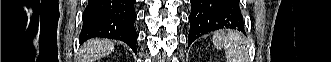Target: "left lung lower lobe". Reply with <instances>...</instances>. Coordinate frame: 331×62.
Here are the masks:
<instances>
[{"instance_id": "left-lung-lower-lobe-1", "label": "left lung lower lobe", "mask_w": 331, "mask_h": 62, "mask_svg": "<svg viewBox=\"0 0 331 62\" xmlns=\"http://www.w3.org/2000/svg\"><path fill=\"white\" fill-rule=\"evenodd\" d=\"M188 46L198 37L217 29L244 32V19L239 0H191Z\"/></svg>"}]
</instances>
